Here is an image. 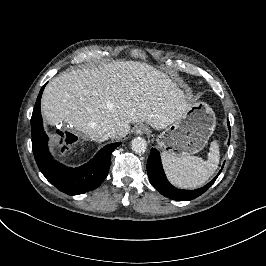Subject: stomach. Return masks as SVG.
<instances>
[{
  "label": "stomach",
  "instance_id": "stomach-1",
  "mask_svg": "<svg viewBox=\"0 0 266 266\" xmlns=\"http://www.w3.org/2000/svg\"><path fill=\"white\" fill-rule=\"evenodd\" d=\"M216 127L213 109L205 102L191 105L184 117L169 125L156 142L163 152L176 157L193 155L207 144Z\"/></svg>",
  "mask_w": 266,
  "mask_h": 266
}]
</instances>
